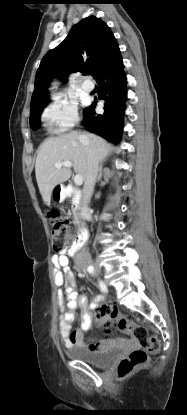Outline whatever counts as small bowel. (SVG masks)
Instances as JSON below:
<instances>
[{
  "mask_svg": "<svg viewBox=\"0 0 187 415\" xmlns=\"http://www.w3.org/2000/svg\"><path fill=\"white\" fill-rule=\"evenodd\" d=\"M70 251L60 252L53 256L52 261L56 268H61L62 271L56 270L54 273V281L57 286H65V297L62 292L58 293V305L62 314L60 316V336L66 347H82L89 351H98L106 349L113 341L104 340L101 342H86L85 332L88 331L93 322L92 311L96 307L95 303H89L84 295H81L76 290L75 277L68 266V256ZM80 309L79 318L81 320V327L72 330V322L76 318L75 311Z\"/></svg>",
  "mask_w": 187,
  "mask_h": 415,
  "instance_id": "small-bowel-1",
  "label": "small bowel"
}]
</instances>
